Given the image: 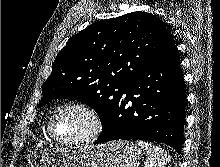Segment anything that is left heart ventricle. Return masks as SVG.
I'll return each mask as SVG.
<instances>
[{
	"instance_id": "left-heart-ventricle-1",
	"label": "left heart ventricle",
	"mask_w": 220,
	"mask_h": 167,
	"mask_svg": "<svg viewBox=\"0 0 220 167\" xmlns=\"http://www.w3.org/2000/svg\"><path fill=\"white\" fill-rule=\"evenodd\" d=\"M89 128L90 121L87 115L75 109L60 114L54 124L55 135L65 140L81 137Z\"/></svg>"
}]
</instances>
